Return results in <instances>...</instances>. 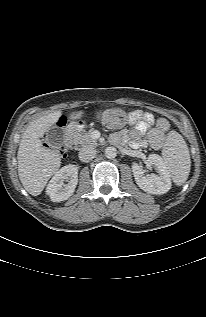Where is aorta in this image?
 <instances>
[{"instance_id": "aorta-1", "label": "aorta", "mask_w": 206, "mask_h": 317, "mask_svg": "<svg viewBox=\"0 0 206 317\" xmlns=\"http://www.w3.org/2000/svg\"><path fill=\"white\" fill-rule=\"evenodd\" d=\"M105 156L109 159H113L117 156V149L115 147H107L105 149Z\"/></svg>"}]
</instances>
